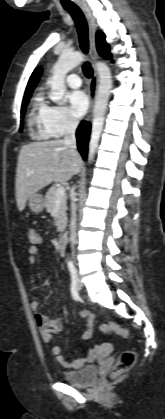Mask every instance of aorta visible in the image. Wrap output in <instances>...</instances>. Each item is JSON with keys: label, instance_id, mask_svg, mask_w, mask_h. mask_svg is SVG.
Listing matches in <instances>:
<instances>
[{"label": "aorta", "instance_id": "1", "mask_svg": "<svg viewBox=\"0 0 165 419\" xmlns=\"http://www.w3.org/2000/svg\"><path fill=\"white\" fill-rule=\"evenodd\" d=\"M84 59L80 52L67 53L63 52L52 69V77L50 79L51 93L49 98L54 101H60L66 91L65 77L66 74L78 66ZM98 76L99 85L96 93V99L93 109L91 138L89 142L88 159L91 161L98 147L100 136L104 126L106 109L108 106L110 90L112 88V76L108 65L104 62L98 61L95 64Z\"/></svg>", "mask_w": 165, "mask_h": 419}]
</instances>
